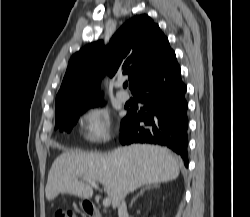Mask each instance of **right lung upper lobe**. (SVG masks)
I'll list each match as a JSON object with an SVG mask.
<instances>
[{
  "mask_svg": "<svg viewBox=\"0 0 250 217\" xmlns=\"http://www.w3.org/2000/svg\"><path fill=\"white\" fill-rule=\"evenodd\" d=\"M157 24L147 15L128 20L111 38L86 45L69 60L56 96V118L73 110L98 104L100 81L107 75H129L133 92L157 73L174 55Z\"/></svg>",
  "mask_w": 250,
  "mask_h": 217,
  "instance_id": "right-lung-upper-lobe-1",
  "label": "right lung upper lobe"
}]
</instances>
